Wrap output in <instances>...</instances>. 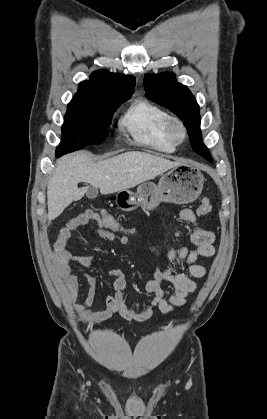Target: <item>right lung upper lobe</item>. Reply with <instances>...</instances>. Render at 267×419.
<instances>
[{"label":"right lung upper lobe","instance_id":"obj_1","mask_svg":"<svg viewBox=\"0 0 267 419\" xmlns=\"http://www.w3.org/2000/svg\"><path fill=\"white\" fill-rule=\"evenodd\" d=\"M135 87L133 76H122L100 70L92 73L89 81L79 84L73 102H87L92 100L110 99L119 96L132 95Z\"/></svg>","mask_w":267,"mask_h":419}]
</instances>
